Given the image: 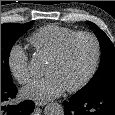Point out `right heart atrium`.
<instances>
[{"label": "right heart atrium", "instance_id": "1", "mask_svg": "<svg viewBox=\"0 0 115 115\" xmlns=\"http://www.w3.org/2000/svg\"><path fill=\"white\" fill-rule=\"evenodd\" d=\"M7 65L12 76L20 84H26L31 79L29 66V56L25 49L18 43L11 46L8 56Z\"/></svg>", "mask_w": 115, "mask_h": 115}]
</instances>
